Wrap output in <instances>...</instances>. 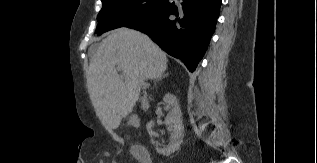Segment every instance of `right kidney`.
Segmentation results:
<instances>
[{
    "label": "right kidney",
    "mask_w": 317,
    "mask_h": 163,
    "mask_svg": "<svg viewBox=\"0 0 317 163\" xmlns=\"http://www.w3.org/2000/svg\"><path fill=\"white\" fill-rule=\"evenodd\" d=\"M163 100L164 102L169 103L172 106L171 112L167 115L165 119V124L171 128V138L170 143L167 147H156V150L159 154L163 156H169L170 154L179 150L180 145L183 142L184 126L182 120V112L176 97L168 93L164 96ZM152 143L154 144L153 141Z\"/></svg>",
    "instance_id": "1"
}]
</instances>
